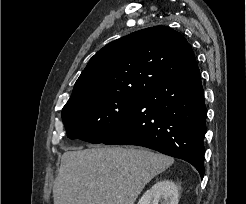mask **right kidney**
Returning <instances> with one entry per match:
<instances>
[{
  "instance_id": "obj_1",
  "label": "right kidney",
  "mask_w": 246,
  "mask_h": 204,
  "mask_svg": "<svg viewBox=\"0 0 246 204\" xmlns=\"http://www.w3.org/2000/svg\"><path fill=\"white\" fill-rule=\"evenodd\" d=\"M178 204L179 193L177 185L170 180H161L147 190L137 204Z\"/></svg>"
}]
</instances>
